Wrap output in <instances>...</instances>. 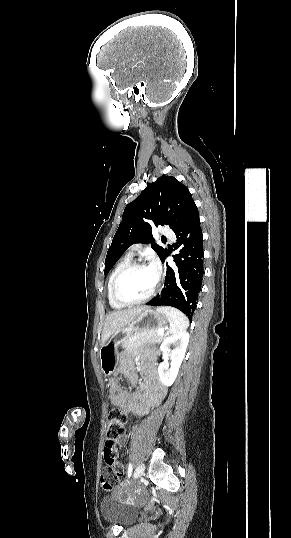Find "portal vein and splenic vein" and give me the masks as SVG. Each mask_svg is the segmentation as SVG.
Listing matches in <instances>:
<instances>
[{
	"label": "portal vein and splenic vein",
	"instance_id": "1",
	"mask_svg": "<svg viewBox=\"0 0 291 538\" xmlns=\"http://www.w3.org/2000/svg\"><path fill=\"white\" fill-rule=\"evenodd\" d=\"M158 334H159V335H163L164 332H163L162 330H159V331H158Z\"/></svg>",
	"mask_w": 291,
	"mask_h": 538
}]
</instances>
